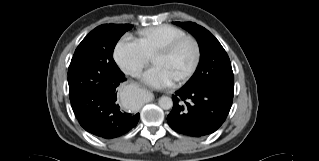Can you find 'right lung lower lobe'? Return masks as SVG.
I'll return each instance as SVG.
<instances>
[{"label":"right lung lower lobe","instance_id":"obj_1","mask_svg":"<svg viewBox=\"0 0 319 161\" xmlns=\"http://www.w3.org/2000/svg\"><path fill=\"white\" fill-rule=\"evenodd\" d=\"M125 80V75L120 72L112 80L98 83L70 100L79 124L86 131L111 139L137 125L139 113H126L117 103V87Z\"/></svg>","mask_w":319,"mask_h":161}]
</instances>
